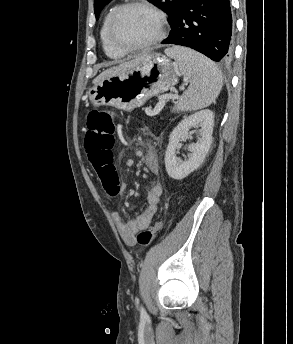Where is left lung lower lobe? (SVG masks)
Instances as JSON below:
<instances>
[{
	"mask_svg": "<svg viewBox=\"0 0 293 344\" xmlns=\"http://www.w3.org/2000/svg\"><path fill=\"white\" fill-rule=\"evenodd\" d=\"M232 15L229 0H181L162 44L190 47L214 61L232 58Z\"/></svg>",
	"mask_w": 293,
	"mask_h": 344,
	"instance_id": "0a47b994",
	"label": "left lung lower lobe"
}]
</instances>
